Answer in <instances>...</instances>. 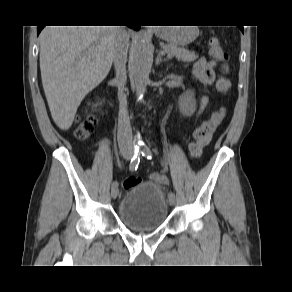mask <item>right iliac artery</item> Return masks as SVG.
I'll return each mask as SVG.
<instances>
[{
  "mask_svg": "<svg viewBox=\"0 0 292 292\" xmlns=\"http://www.w3.org/2000/svg\"><path fill=\"white\" fill-rule=\"evenodd\" d=\"M140 158H141V150L139 147L135 148L134 151V155L130 161V165L129 168L131 171L137 170L139 162H140ZM118 187V183L117 182H113L112 184V188H117Z\"/></svg>",
  "mask_w": 292,
  "mask_h": 292,
  "instance_id": "obj_1",
  "label": "right iliac artery"
}]
</instances>
